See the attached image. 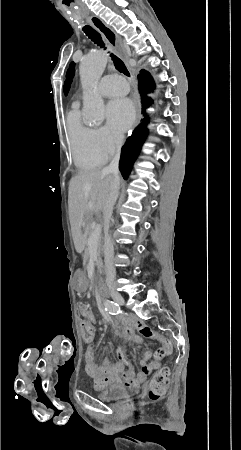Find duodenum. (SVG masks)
Segmentation results:
<instances>
[{"label":"duodenum","mask_w":241,"mask_h":450,"mask_svg":"<svg viewBox=\"0 0 241 450\" xmlns=\"http://www.w3.org/2000/svg\"><path fill=\"white\" fill-rule=\"evenodd\" d=\"M94 288H95V291L97 293H99L100 295H104L105 294L106 287H105V285L102 282H100V281L96 282L95 285H94Z\"/></svg>","instance_id":"obj_1"}]
</instances>
